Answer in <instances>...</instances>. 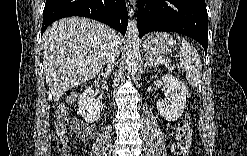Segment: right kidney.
<instances>
[{"instance_id": "obj_1", "label": "right kidney", "mask_w": 247, "mask_h": 156, "mask_svg": "<svg viewBox=\"0 0 247 156\" xmlns=\"http://www.w3.org/2000/svg\"><path fill=\"white\" fill-rule=\"evenodd\" d=\"M79 113L86 122H94L100 118L103 105L96 100L94 90L86 88L78 98Z\"/></svg>"}]
</instances>
